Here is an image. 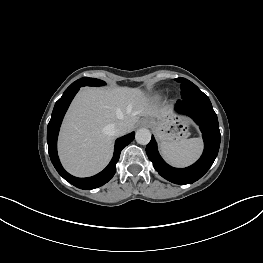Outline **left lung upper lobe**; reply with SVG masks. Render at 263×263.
Masks as SVG:
<instances>
[{
    "mask_svg": "<svg viewBox=\"0 0 263 263\" xmlns=\"http://www.w3.org/2000/svg\"><path fill=\"white\" fill-rule=\"evenodd\" d=\"M176 80L181 84L182 98L203 93L195 84L185 78H178Z\"/></svg>",
    "mask_w": 263,
    "mask_h": 263,
    "instance_id": "left-lung-upper-lobe-1",
    "label": "left lung upper lobe"
}]
</instances>
